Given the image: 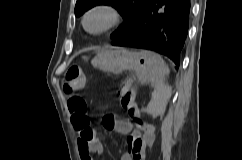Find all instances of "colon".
Returning <instances> with one entry per match:
<instances>
[{
    "instance_id": "5ec220e1",
    "label": "colon",
    "mask_w": 242,
    "mask_h": 160,
    "mask_svg": "<svg viewBox=\"0 0 242 160\" xmlns=\"http://www.w3.org/2000/svg\"><path fill=\"white\" fill-rule=\"evenodd\" d=\"M84 75L79 66L70 67L63 78V90L67 94H71L84 85ZM121 105L127 110L130 118L137 122H141L138 118V109L135 103V92L131 82L126 80L119 89ZM68 108L75 117L78 127L86 129L90 128V119L87 116V104L85 100L79 96H73L68 101ZM83 137L89 139L93 136L92 129H88L82 133Z\"/></svg>"
}]
</instances>
